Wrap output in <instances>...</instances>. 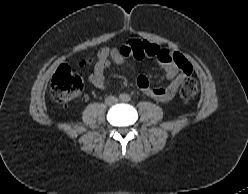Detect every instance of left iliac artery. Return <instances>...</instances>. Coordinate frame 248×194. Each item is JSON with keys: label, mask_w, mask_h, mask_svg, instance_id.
<instances>
[{"label": "left iliac artery", "mask_w": 248, "mask_h": 194, "mask_svg": "<svg viewBox=\"0 0 248 194\" xmlns=\"http://www.w3.org/2000/svg\"><path fill=\"white\" fill-rule=\"evenodd\" d=\"M127 100H130V98H129V97H127Z\"/></svg>", "instance_id": "left-iliac-artery-1"}]
</instances>
